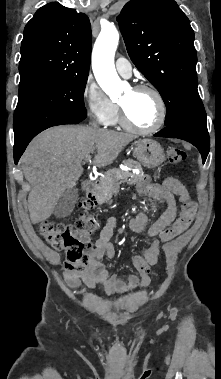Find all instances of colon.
<instances>
[{"instance_id":"1","label":"colon","mask_w":221,"mask_h":379,"mask_svg":"<svg viewBox=\"0 0 221 379\" xmlns=\"http://www.w3.org/2000/svg\"><path fill=\"white\" fill-rule=\"evenodd\" d=\"M168 158L177 165L186 159V153L180 148H170ZM81 214L71 224L44 222L40 231L47 242L57 250L66 252L65 268L74 273H82L90 264L93 248L91 236L96 229V220L92 214L95 203L87 198L80 202ZM196 204L189 202L183 206L172 226L160 233L163 242L170 241L186 231L193 223Z\"/></svg>"}]
</instances>
